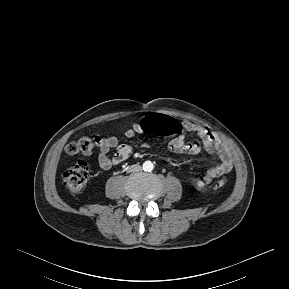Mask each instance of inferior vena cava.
<instances>
[{"label": "inferior vena cava", "instance_id": "inferior-vena-cava-1", "mask_svg": "<svg viewBox=\"0 0 289 289\" xmlns=\"http://www.w3.org/2000/svg\"><path fill=\"white\" fill-rule=\"evenodd\" d=\"M142 168L139 164H134V165H131L127 168V172H138L140 171Z\"/></svg>", "mask_w": 289, "mask_h": 289}]
</instances>
